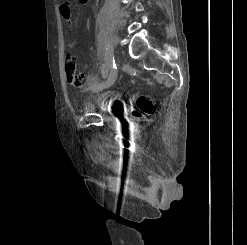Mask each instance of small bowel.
<instances>
[{
    "mask_svg": "<svg viewBox=\"0 0 247 245\" xmlns=\"http://www.w3.org/2000/svg\"><path fill=\"white\" fill-rule=\"evenodd\" d=\"M82 4L88 2V0H79ZM60 12L64 19L69 20L71 18V10L69 3L65 2L60 6Z\"/></svg>",
    "mask_w": 247,
    "mask_h": 245,
    "instance_id": "obj_1",
    "label": "small bowel"
}]
</instances>
